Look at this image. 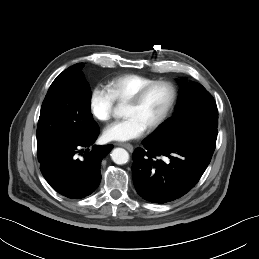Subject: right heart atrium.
Returning a JSON list of instances; mask_svg holds the SVG:
<instances>
[{"label":"right heart atrium","instance_id":"right-heart-atrium-1","mask_svg":"<svg viewBox=\"0 0 259 259\" xmlns=\"http://www.w3.org/2000/svg\"><path fill=\"white\" fill-rule=\"evenodd\" d=\"M90 108L93 116L99 121L110 120L114 113V99L103 85H96L91 92Z\"/></svg>","mask_w":259,"mask_h":259}]
</instances>
